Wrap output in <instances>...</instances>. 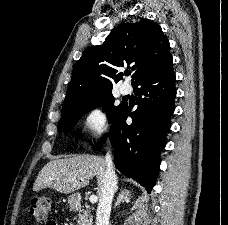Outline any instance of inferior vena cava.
I'll return each instance as SVG.
<instances>
[{
    "instance_id": "inferior-vena-cava-1",
    "label": "inferior vena cava",
    "mask_w": 228,
    "mask_h": 225,
    "mask_svg": "<svg viewBox=\"0 0 228 225\" xmlns=\"http://www.w3.org/2000/svg\"><path fill=\"white\" fill-rule=\"evenodd\" d=\"M106 173L100 185L101 195L96 211V225H109L113 197L117 191V181L110 153L105 157Z\"/></svg>"
}]
</instances>
